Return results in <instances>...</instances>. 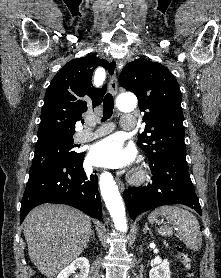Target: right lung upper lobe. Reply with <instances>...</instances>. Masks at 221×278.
Returning <instances> with one entry per match:
<instances>
[{
  "mask_svg": "<svg viewBox=\"0 0 221 278\" xmlns=\"http://www.w3.org/2000/svg\"><path fill=\"white\" fill-rule=\"evenodd\" d=\"M99 65L108 68L106 60L85 56L68 62L54 76L45 94L37 143L73 136L82 114L101 103L106 86L97 89L91 82Z\"/></svg>",
  "mask_w": 221,
  "mask_h": 278,
  "instance_id": "obj_1",
  "label": "right lung upper lobe"
}]
</instances>
